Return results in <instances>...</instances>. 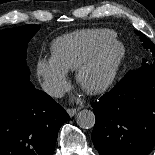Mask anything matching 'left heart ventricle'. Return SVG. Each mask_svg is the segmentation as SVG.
Here are the masks:
<instances>
[{
  "instance_id": "b2bd125f",
  "label": "left heart ventricle",
  "mask_w": 155,
  "mask_h": 155,
  "mask_svg": "<svg viewBox=\"0 0 155 155\" xmlns=\"http://www.w3.org/2000/svg\"><path fill=\"white\" fill-rule=\"evenodd\" d=\"M116 51V48L108 50L103 58L85 75L83 80L85 86L92 87L105 80L110 71Z\"/></svg>"
}]
</instances>
